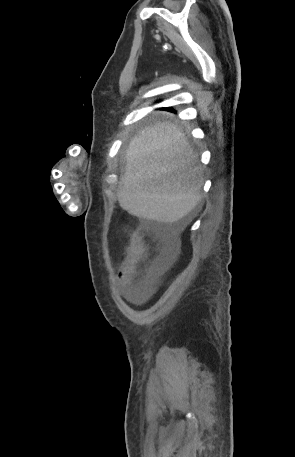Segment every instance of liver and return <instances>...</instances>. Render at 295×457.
Returning <instances> with one entry per match:
<instances>
[{
	"mask_svg": "<svg viewBox=\"0 0 295 457\" xmlns=\"http://www.w3.org/2000/svg\"><path fill=\"white\" fill-rule=\"evenodd\" d=\"M182 129L170 122L146 126L131 139L117 197L138 218L174 223L201 200L202 167Z\"/></svg>",
	"mask_w": 295,
	"mask_h": 457,
	"instance_id": "obj_1",
	"label": "liver"
}]
</instances>
